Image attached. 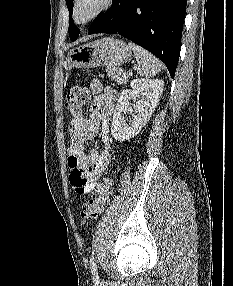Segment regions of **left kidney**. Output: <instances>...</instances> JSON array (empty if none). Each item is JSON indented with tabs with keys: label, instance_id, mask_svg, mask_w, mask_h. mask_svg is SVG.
Masks as SVG:
<instances>
[{
	"label": "left kidney",
	"instance_id": "left-kidney-1",
	"mask_svg": "<svg viewBox=\"0 0 233 286\" xmlns=\"http://www.w3.org/2000/svg\"><path fill=\"white\" fill-rule=\"evenodd\" d=\"M164 82L158 79H135L131 89L121 92L113 115L111 134L115 140L126 141L137 135L153 114L163 92ZM135 104L131 107L130 101ZM133 112L126 123L125 114Z\"/></svg>",
	"mask_w": 233,
	"mask_h": 286
}]
</instances>
